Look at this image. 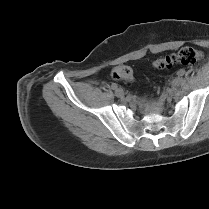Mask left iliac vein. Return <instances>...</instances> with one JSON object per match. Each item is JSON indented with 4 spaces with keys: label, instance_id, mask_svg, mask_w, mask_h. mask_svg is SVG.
<instances>
[{
    "label": "left iliac vein",
    "instance_id": "obj_1",
    "mask_svg": "<svg viewBox=\"0 0 209 209\" xmlns=\"http://www.w3.org/2000/svg\"><path fill=\"white\" fill-rule=\"evenodd\" d=\"M180 78L181 77L178 76L175 79H173L172 82H171L172 85L175 86V87L178 86L179 85V82L178 81H179Z\"/></svg>",
    "mask_w": 209,
    "mask_h": 209
}]
</instances>
